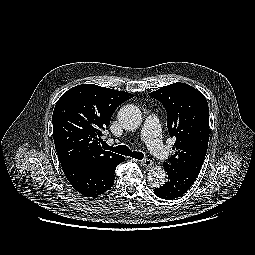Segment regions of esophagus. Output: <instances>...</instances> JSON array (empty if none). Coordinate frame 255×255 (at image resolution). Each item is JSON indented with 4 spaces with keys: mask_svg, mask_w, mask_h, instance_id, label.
<instances>
[{
    "mask_svg": "<svg viewBox=\"0 0 255 255\" xmlns=\"http://www.w3.org/2000/svg\"><path fill=\"white\" fill-rule=\"evenodd\" d=\"M141 164L146 168H150L153 165V161L151 159H144L141 161Z\"/></svg>",
    "mask_w": 255,
    "mask_h": 255,
    "instance_id": "obj_1",
    "label": "esophagus"
}]
</instances>
